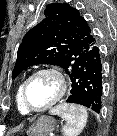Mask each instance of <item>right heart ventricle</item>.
I'll use <instances>...</instances> for the list:
<instances>
[{
    "instance_id": "1",
    "label": "right heart ventricle",
    "mask_w": 117,
    "mask_h": 136,
    "mask_svg": "<svg viewBox=\"0 0 117 136\" xmlns=\"http://www.w3.org/2000/svg\"><path fill=\"white\" fill-rule=\"evenodd\" d=\"M22 86H23V82H21L17 87L16 95H15V103L19 113H21L22 115H27L29 112L23 106L22 100H21Z\"/></svg>"
}]
</instances>
